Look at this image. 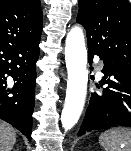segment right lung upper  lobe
Returning <instances> with one entry per match:
<instances>
[{
	"label": "right lung upper lobe",
	"mask_w": 131,
	"mask_h": 151,
	"mask_svg": "<svg viewBox=\"0 0 131 151\" xmlns=\"http://www.w3.org/2000/svg\"><path fill=\"white\" fill-rule=\"evenodd\" d=\"M42 24L40 0H0V45L39 41Z\"/></svg>",
	"instance_id": "right-lung-upper-lobe-1"
}]
</instances>
